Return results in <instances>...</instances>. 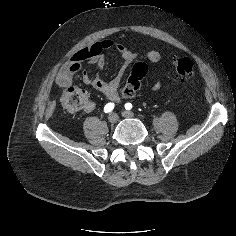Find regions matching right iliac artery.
<instances>
[{"instance_id": "right-iliac-artery-1", "label": "right iliac artery", "mask_w": 236, "mask_h": 236, "mask_svg": "<svg viewBox=\"0 0 236 236\" xmlns=\"http://www.w3.org/2000/svg\"><path fill=\"white\" fill-rule=\"evenodd\" d=\"M114 103H107L106 105H105V107H104V112L105 113H109V112H111L113 109H114Z\"/></svg>"}]
</instances>
